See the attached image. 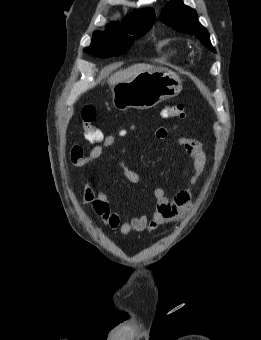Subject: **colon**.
<instances>
[{
    "label": "colon",
    "instance_id": "5ec220e1",
    "mask_svg": "<svg viewBox=\"0 0 261 340\" xmlns=\"http://www.w3.org/2000/svg\"><path fill=\"white\" fill-rule=\"evenodd\" d=\"M162 116L165 118H184L185 108L183 104L168 105L162 110ZM84 134L90 143L102 142L103 132L94 124L96 118V109L91 104L82 107L80 113Z\"/></svg>",
    "mask_w": 261,
    "mask_h": 340
}]
</instances>
